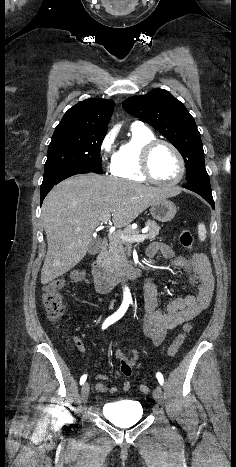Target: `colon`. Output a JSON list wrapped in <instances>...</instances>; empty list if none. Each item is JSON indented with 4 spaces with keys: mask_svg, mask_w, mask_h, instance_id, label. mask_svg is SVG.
<instances>
[{
    "mask_svg": "<svg viewBox=\"0 0 236 467\" xmlns=\"http://www.w3.org/2000/svg\"><path fill=\"white\" fill-rule=\"evenodd\" d=\"M179 241L181 245L187 249H192L194 244V237L190 230L182 229L179 234ZM82 278V271L75 270L72 271L68 279L58 278L50 282L44 287L43 294V303L47 313V316L50 321L53 323H58L65 313V307L62 302L60 291L69 281H78ZM192 325L190 323H185L182 327V332L174 339L172 344L168 349V355L173 357L178 352L179 348L183 344L187 335L191 332ZM149 390L146 382L140 385L141 393H147Z\"/></svg>",
    "mask_w": 236,
    "mask_h": 467,
    "instance_id": "5ec220e1",
    "label": "colon"
}]
</instances>
